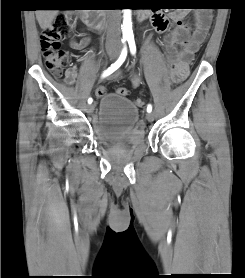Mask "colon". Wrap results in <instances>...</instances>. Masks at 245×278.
Masks as SVG:
<instances>
[{
    "label": "colon",
    "mask_w": 245,
    "mask_h": 278,
    "mask_svg": "<svg viewBox=\"0 0 245 278\" xmlns=\"http://www.w3.org/2000/svg\"><path fill=\"white\" fill-rule=\"evenodd\" d=\"M199 7L205 11H212L214 8L212 4L207 2L201 3ZM71 32V17L61 13L57 14L54 17L52 25L43 29L40 34L41 49L45 65L56 78L62 76L64 66L68 60V55L61 49V40L69 37ZM172 80L174 84H179L182 78L173 72ZM116 92L118 95L124 97L129 95L128 89L124 87L117 88ZM134 103L137 107H142L144 105L142 98H136Z\"/></svg>",
    "instance_id": "1"
}]
</instances>
